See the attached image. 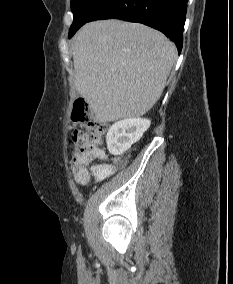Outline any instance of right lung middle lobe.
Instances as JSON below:
<instances>
[{
	"instance_id": "1",
	"label": "right lung middle lobe",
	"mask_w": 233,
	"mask_h": 284,
	"mask_svg": "<svg viewBox=\"0 0 233 284\" xmlns=\"http://www.w3.org/2000/svg\"><path fill=\"white\" fill-rule=\"evenodd\" d=\"M108 0H71L73 23L69 29V38Z\"/></svg>"
}]
</instances>
